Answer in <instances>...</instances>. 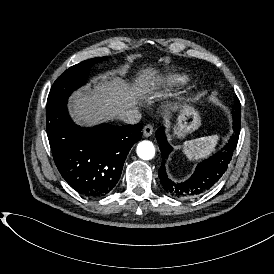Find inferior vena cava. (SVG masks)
Instances as JSON below:
<instances>
[{"mask_svg":"<svg viewBox=\"0 0 274 274\" xmlns=\"http://www.w3.org/2000/svg\"><path fill=\"white\" fill-rule=\"evenodd\" d=\"M118 118L125 124L134 125L141 121L142 115L138 110L130 109L120 113Z\"/></svg>","mask_w":274,"mask_h":274,"instance_id":"obj_1","label":"inferior vena cava"}]
</instances>
